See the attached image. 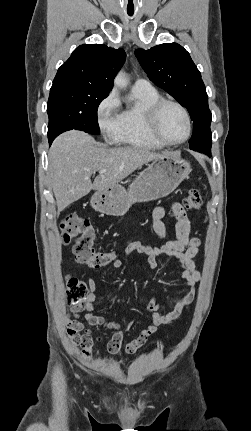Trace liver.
Listing matches in <instances>:
<instances>
[{
    "mask_svg": "<svg viewBox=\"0 0 251 431\" xmlns=\"http://www.w3.org/2000/svg\"><path fill=\"white\" fill-rule=\"evenodd\" d=\"M168 153L140 147L107 148L82 131L59 135L49 152L48 177L58 214L91 190H105L128 177L142 165ZM105 169L91 182V175Z\"/></svg>",
    "mask_w": 251,
    "mask_h": 431,
    "instance_id": "obj_1",
    "label": "liver"
}]
</instances>
